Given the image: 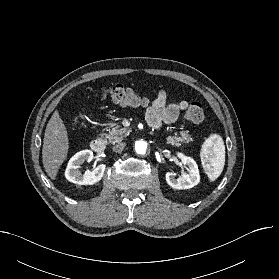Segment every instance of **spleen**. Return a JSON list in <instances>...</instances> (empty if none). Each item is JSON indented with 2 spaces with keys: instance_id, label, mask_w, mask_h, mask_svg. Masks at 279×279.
Here are the masks:
<instances>
[{
  "instance_id": "3e777b00",
  "label": "spleen",
  "mask_w": 279,
  "mask_h": 279,
  "mask_svg": "<svg viewBox=\"0 0 279 279\" xmlns=\"http://www.w3.org/2000/svg\"><path fill=\"white\" fill-rule=\"evenodd\" d=\"M202 160L210 181H215L225 165V145L222 137L212 134L202 148Z\"/></svg>"
}]
</instances>
